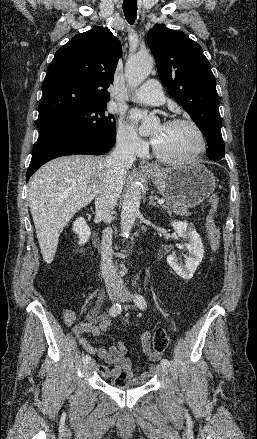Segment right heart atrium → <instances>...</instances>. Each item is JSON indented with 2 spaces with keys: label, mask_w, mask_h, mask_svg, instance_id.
Returning a JSON list of instances; mask_svg holds the SVG:
<instances>
[{
  "label": "right heart atrium",
  "mask_w": 257,
  "mask_h": 439,
  "mask_svg": "<svg viewBox=\"0 0 257 439\" xmlns=\"http://www.w3.org/2000/svg\"><path fill=\"white\" fill-rule=\"evenodd\" d=\"M118 149L128 156L142 154L146 143L138 136L134 127L126 121H120L116 132Z\"/></svg>",
  "instance_id": "obj_1"
}]
</instances>
